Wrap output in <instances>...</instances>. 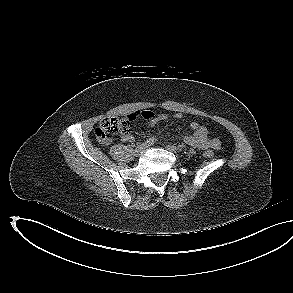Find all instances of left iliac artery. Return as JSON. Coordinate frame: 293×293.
Wrapping results in <instances>:
<instances>
[{
  "label": "left iliac artery",
  "mask_w": 293,
  "mask_h": 293,
  "mask_svg": "<svg viewBox=\"0 0 293 293\" xmlns=\"http://www.w3.org/2000/svg\"><path fill=\"white\" fill-rule=\"evenodd\" d=\"M183 148H184V145H178V150H179V151H182Z\"/></svg>",
  "instance_id": "left-iliac-artery-1"
}]
</instances>
